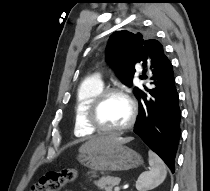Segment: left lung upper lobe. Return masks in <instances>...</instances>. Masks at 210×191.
<instances>
[{"label":"left lung upper lobe","mask_w":210,"mask_h":191,"mask_svg":"<svg viewBox=\"0 0 210 191\" xmlns=\"http://www.w3.org/2000/svg\"><path fill=\"white\" fill-rule=\"evenodd\" d=\"M106 57L120 80L131 87L136 63H142L143 67H149L152 71L162 63L166 55L159 41L146 40L141 33L122 30L115 31L110 36ZM142 89L138 87L133 89L137 98Z\"/></svg>","instance_id":"obj_1"}]
</instances>
